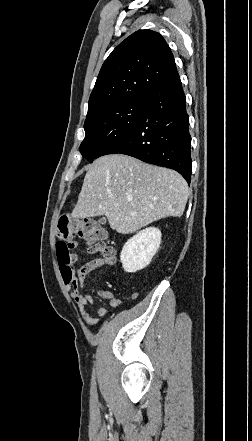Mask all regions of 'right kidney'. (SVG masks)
Segmentation results:
<instances>
[{
	"label": "right kidney",
	"instance_id": "obj_1",
	"mask_svg": "<svg viewBox=\"0 0 252 441\" xmlns=\"http://www.w3.org/2000/svg\"><path fill=\"white\" fill-rule=\"evenodd\" d=\"M161 243V231L155 227L141 230L122 248L120 261L125 272L135 273L145 268L156 254Z\"/></svg>",
	"mask_w": 252,
	"mask_h": 441
}]
</instances>
